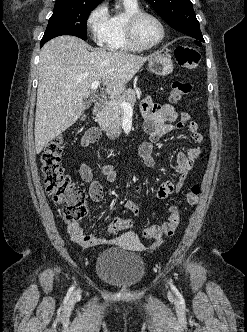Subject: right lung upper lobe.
<instances>
[{
    "mask_svg": "<svg viewBox=\"0 0 247 332\" xmlns=\"http://www.w3.org/2000/svg\"><path fill=\"white\" fill-rule=\"evenodd\" d=\"M93 1H99V2H101L102 0H93Z\"/></svg>",
    "mask_w": 247,
    "mask_h": 332,
    "instance_id": "right-lung-upper-lobe-1",
    "label": "right lung upper lobe"
}]
</instances>
